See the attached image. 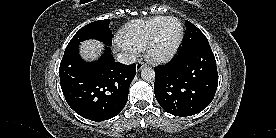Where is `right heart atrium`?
<instances>
[{"instance_id":"d8ad5b80","label":"right heart atrium","mask_w":276,"mask_h":138,"mask_svg":"<svg viewBox=\"0 0 276 138\" xmlns=\"http://www.w3.org/2000/svg\"><path fill=\"white\" fill-rule=\"evenodd\" d=\"M119 47L122 48L124 51L129 52L130 54H135L136 53V50H134L131 47L122 45L121 43H119Z\"/></svg>"}]
</instances>
